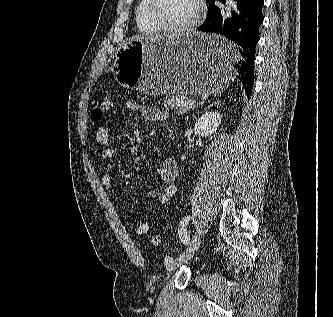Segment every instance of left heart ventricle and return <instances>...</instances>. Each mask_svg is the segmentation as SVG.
<instances>
[{
	"label": "left heart ventricle",
	"instance_id": "left-heart-ventricle-1",
	"mask_svg": "<svg viewBox=\"0 0 333 317\" xmlns=\"http://www.w3.org/2000/svg\"><path fill=\"white\" fill-rule=\"evenodd\" d=\"M194 0H156V15L166 24L187 25L195 14Z\"/></svg>",
	"mask_w": 333,
	"mask_h": 317
}]
</instances>
